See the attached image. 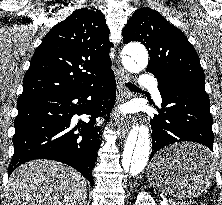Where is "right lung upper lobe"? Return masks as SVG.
<instances>
[{"label":"right lung upper lobe","mask_w":222,"mask_h":205,"mask_svg":"<svg viewBox=\"0 0 222 205\" xmlns=\"http://www.w3.org/2000/svg\"><path fill=\"white\" fill-rule=\"evenodd\" d=\"M109 34L101 11L75 10L55 25L36 49L18 99L66 94L113 72Z\"/></svg>","instance_id":"obj_1"}]
</instances>
